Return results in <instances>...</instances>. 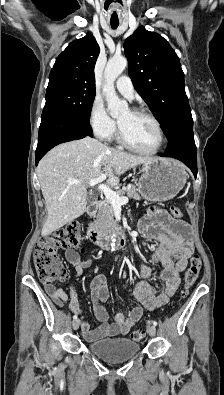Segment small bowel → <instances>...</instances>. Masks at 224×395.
Listing matches in <instances>:
<instances>
[{
    "label": "small bowel",
    "mask_w": 224,
    "mask_h": 395,
    "mask_svg": "<svg viewBox=\"0 0 224 395\" xmlns=\"http://www.w3.org/2000/svg\"><path fill=\"white\" fill-rule=\"evenodd\" d=\"M138 227L146 240L158 242L151 255V261L162 265L160 278L164 282V288L155 290L151 287L149 280L152 278V271L146 264H141L143 280L133 288L127 287L137 303L136 306L127 314L118 313L114 322L109 323L103 306L109 296L106 278L103 275L94 277L90 283V297L95 318L100 322V326L91 330L89 323L81 317V331L89 342L104 337L127 334L145 311H152L164 306L179 287L180 273L185 270L194 251L193 232L189 224L183 220L172 218L163 209L152 208L140 219ZM65 258L75 267L78 275H81L91 265L89 258L82 260L78 252L73 249L65 250ZM44 287L57 305L62 306L63 303L70 301L71 311L81 315L78 296L72 285L69 286V295L51 283H44Z\"/></svg>",
    "instance_id": "small-bowel-1"
}]
</instances>
